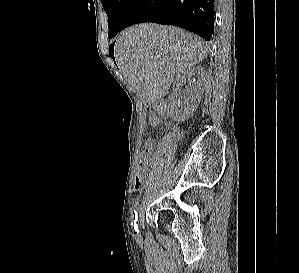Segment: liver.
Instances as JSON below:
<instances>
[{
    "instance_id": "6515ba94",
    "label": "liver",
    "mask_w": 299,
    "mask_h": 273,
    "mask_svg": "<svg viewBox=\"0 0 299 273\" xmlns=\"http://www.w3.org/2000/svg\"><path fill=\"white\" fill-rule=\"evenodd\" d=\"M208 45L177 27L132 26L116 39L117 65L139 97L153 103L164 97L174 78L207 57Z\"/></svg>"
}]
</instances>
